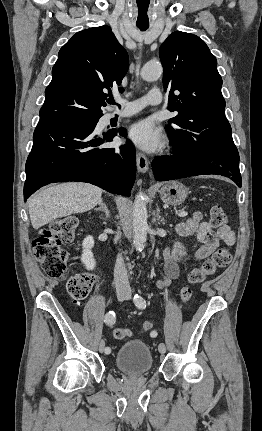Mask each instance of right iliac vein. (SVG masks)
Returning <instances> with one entry per match:
<instances>
[{"label": "right iliac vein", "instance_id": "right-iliac-vein-1", "mask_svg": "<svg viewBox=\"0 0 262 431\" xmlns=\"http://www.w3.org/2000/svg\"><path fill=\"white\" fill-rule=\"evenodd\" d=\"M126 296H127V294L124 291H118L117 292V298H118V300H123V299H125ZM98 349H99V352H101V353L105 352V342H104V340H101L99 342Z\"/></svg>", "mask_w": 262, "mask_h": 431}]
</instances>
